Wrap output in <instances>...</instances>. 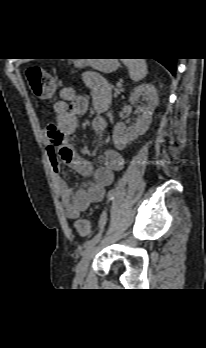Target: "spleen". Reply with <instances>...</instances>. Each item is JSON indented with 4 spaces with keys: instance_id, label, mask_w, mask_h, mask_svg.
<instances>
[{
    "instance_id": "spleen-1",
    "label": "spleen",
    "mask_w": 206,
    "mask_h": 348,
    "mask_svg": "<svg viewBox=\"0 0 206 348\" xmlns=\"http://www.w3.org/2000/svg\"><path fill=\"white\" fill-rule=\"evenodd\" d=\"M123 63L128 67L129 76L135 82L142 80L148 73L144 59H123Z\"/></svg>"
}]
</instances>
